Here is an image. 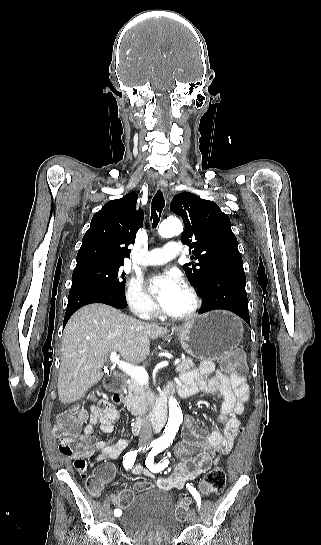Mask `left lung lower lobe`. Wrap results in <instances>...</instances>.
<instances>
[{
  "instance_id": "0a47b994",
  "label": "left lung lower lobe",
  "mask_w": 321,
  "mask_h": 545,
  "mask_svg": "<svg viewBox=\"0 0 321 545\" xmlns=\"http://www.w3.org/2000/svg\"><path fill=\"white\" fill-rule=\"evenodd\" d=\"M246 277L243 265L225 267L215 271L199 289L203 297L200 313L216 309L229 310L250 325Z\"/></svg>"
}]
</instances>
